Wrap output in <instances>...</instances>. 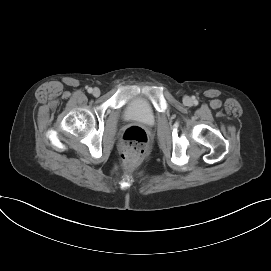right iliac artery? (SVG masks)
<instances>
[{
	"label": "right iliac artery",
	"instance_id": "82829eb1",
	"mask_svg": "<svg viewBox=\"0 0 271 271\" xmlns=\"http://www.w3.org/2000/svg\"><path fill=\"white\" fill-rule=\"evenodd\" d=\"M87 91H88L89 93H92L93 89H92L91 87H89V88H87Z\"/></svg>",
	"mask_w": 271,
	"mask_h": 271
}]
</instances>
